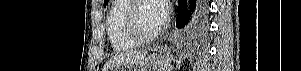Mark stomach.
<instances>
[{"mask_svg": "<svg viewBox=\"0 0 301 71\" xmlns=\"http://www.w3.org/2000/svg\"><path fill=\"white\" fill-rule=\"evenodd\" d=\"M168 54H151L141 61L113 68L111 71H172Z\"/></svg>", "mask_w": 301, "mask_h": 71, "instance_id": "1", "label": "stomach"}]
</instances>
